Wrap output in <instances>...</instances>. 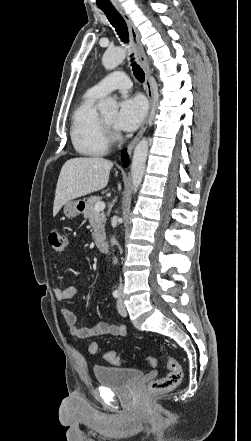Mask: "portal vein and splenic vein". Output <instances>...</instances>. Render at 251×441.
I'll return each mask as SVG.
<instances>
[{
  "instance_id": "obj_1",
  "label": "portal vein and splenic vein",
  "mask_w": 251,
  "mask_h": 441,
  "mask_svg": "<svg viewBox=\"0 0 251 441\" xmlns=\"http://www.w3.org/2000/svg\"><path fill=\"white\" fill-rule=\"evenodd\" d=\"M95 211L96 212H100V211H103L104 210V208H105V203L103 202V201H100V202H97L96 204H95Z\"/></svg>"
}]
</instances>
